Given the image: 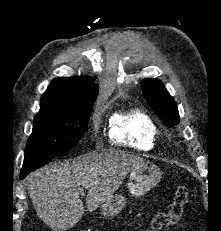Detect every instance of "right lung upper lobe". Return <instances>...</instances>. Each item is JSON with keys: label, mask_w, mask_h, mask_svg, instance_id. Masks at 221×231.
Masks as SVG:
<instances>
[{"label": "right lung upper lobe", "mask_w": 221, "mask_h": 231, "mask_svg": "<svg viewBox=\"0 0 221 231\" xmlns=\"http://www.w3.org/2000/svg\"><path fill=\"white\" fill-rule=\"evenodd\" d=\"M98 85L89 77L53 79L40 101V110L73 109L94 103Z\"/></svg>", "instance_id": "right-lung-upper-lobe-1"}]
</instances>
